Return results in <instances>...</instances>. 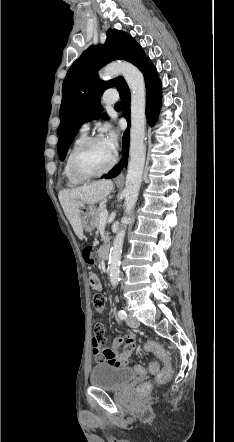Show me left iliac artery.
<instances>
[{
  "mask_svg": "<svg viewBox=\"0 0 234 442\" xmlns=\"http://www.w3.org/2000/svg\"><path fill=\"white\" fill-rule=\"evenodd\" d=\"M118 317H119L121 320H125L126 317H127V313H126L124 310H119V311H118Z\"/></svg>",
  "mask_w": 234,
  "mask_h": 442,
  "instance_id": "44dca946",
  "label": "left iliac artery"
}]
</instances>
